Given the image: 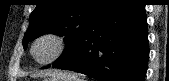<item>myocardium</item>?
<instances>
[{
	"mask_svg": "<svg viewBox=\"0 0 169 81\" xmlns=\"http://www.w3.org/2000/svg\"><path fill=\"white\" fill-rule=\"evenodd\" d=\"M44 39H50L54 41L56 43V51L51 58L41 61V60H38L34 56V48L38 42ZM67 44H68L67 39L64 35L59 34L57 32H46V33L39 35L37 38L34 39V41L32 42L31 48H30V54L34 62H36L37 64L43 65V66L49 65V64L54 63L57 59H59L63 55V53L65 52L67 48Z\"/></svg>",
	"mask_w": 169,
	"mask_h": 81,
	"instance_id": "obj_1",
	"label": "myocardium"
}]
</instances>
